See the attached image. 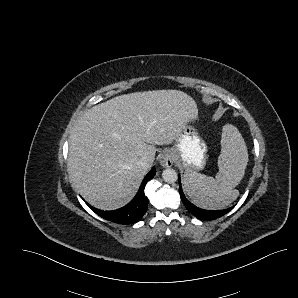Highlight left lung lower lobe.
Returning <instances> with one entry per match:
<instances>
[{
	"label": "left lung lower lobe",
	"instance_id": "obj_1",
	"mask_svg": "<svg viewBox=\"0 0 298 298\" xmlns=\"http://www.w3.org/2000/svg\"><path fill=\"white\" fill-rule=\"evenodd\" d=\"M179 193L181 196V200L185 207L188 209L189 212H191L195 217L202 219V220H214L217 219L226 213H228L230 210H232L235 206H232L228 209L224 210H204L196 207L192 203H190L184 196L182 188H181V182H180V177H179Z\"/></svg>",
	"mask_w": 298,
	"mask_h": 298
}]
</instances>
